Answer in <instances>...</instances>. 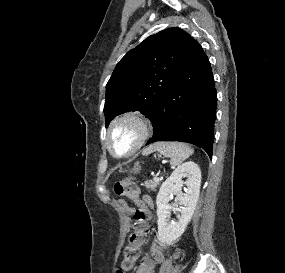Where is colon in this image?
<instances>
[{"label":"colon","mask_w":285,"mask_h":273,"mask_svg":"<svg viewBox=\"0 0 285 273\" xmlns=\"http://www.w3.org/2000/svg\"><path fill=\"white\" fill-rule=\"evenodd\" d=\"M116 195L130 199L131 205L136 209L133 211L134 230L128 238V242L123 249L122 259L116 273H127L132 268L140 255V247L145 239L150 216L149 205L140 199L139 188L132 178H126L114 185Z\"/></svg>","instance_id":"5ec220e1"}]
</instances>
